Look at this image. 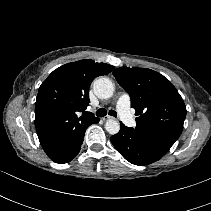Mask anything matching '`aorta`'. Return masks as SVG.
Here are the masks:
<instances>
[{
	"label": "aorta",
	"mask_w": 211,
	"mask_h": 211,
	"mask_svg": "<svg viewBox=\"0 0 211 211\" xmlns=\"http://www.w3.org/2000/svg\"><path fill=\"white\" fill-rule=\"evenodd\" d=\"M93 91L98 98L107 99L113 95L114 85L108 78L101 77L94 81ZM106 131L111 134H117L120 130L119 123L114 119H109L105 123Z\"/></svg>",
	"instance_id": "obj_1"
}]
</instances>
